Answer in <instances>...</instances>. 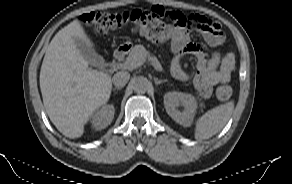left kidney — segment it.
Masks as SVG:
<instances>
[{
  "label": "left kidney",
  "instance_id": "left-kidney-1",
  "mask_svg": "<svg viewBox=\"0 0 292 184\" xmlns=\"http://www.w3.org/2000/svg\"><path fill=\"white\" fill-rule=\"evenodd\" d=\"M164 105L168 115L184 127L191 125L197 110V101L191 94L168 92L164 95ZM183 106V110L178 109Z\"/></svg>",
  "mask_w": 292,
  "mask_h": 184
}]
</instances>
